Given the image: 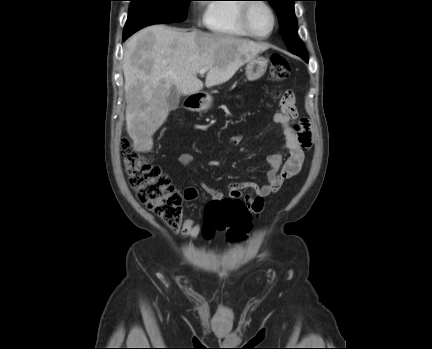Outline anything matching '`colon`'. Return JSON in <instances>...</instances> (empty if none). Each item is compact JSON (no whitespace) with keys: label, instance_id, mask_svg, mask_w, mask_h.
Returning <instances> with one entry per match:
<instances>
[{"label":"colon","instance_id":"1","mask_svg":"<svg viewBox=\"0 0 432 349\" xmlns=\"http://www.w3.org/2000/svg\"><path fill=\"white\" fill-rule=\"evenodd\" d=\"M290 72L285 57L280 54L271 57V80L283 81L289 77ZM121 156L128 182L136 192L138 201L171 230H176L182 218V198L169 176L150 157L136 152L129 139L125 138L121 142ZM252 216L249 206L243 200L224 198L220 202L212 201L206 208L205 236L210 237L217 230L226 232L231 241L241 240L251 229Z\"/></svg>","mask_w":432,"mask_h":349}]
</instances>
